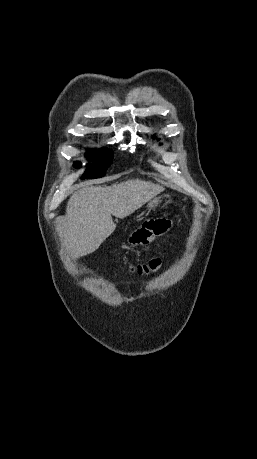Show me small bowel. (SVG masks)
<instances>
[{
	"label": "small bowel",
	"mask_w": 257,
	"mask_h": 459,
	"mask_svg": "<svg viewBox=\"0 0 257 459\" xmlns=\"http://www.w3.org/2000/svg\"><path fill=\"white\" fill-rule=\"evenodd\" d=\"M174 222H170L168 213L161 211L158 219L147 217L146 223H139L138 230L134 235H129V244H137L138 248H147L150 239L154 236H163L164 232H169L170 227H174Z\"/></svg>",
	"instance_id": "small-bowel-1"
}]
</instances>
